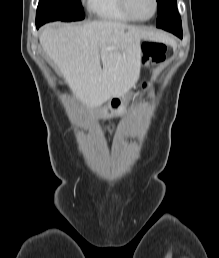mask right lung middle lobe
<instances>
[{
	"label": "right lung middle lobe",
	"mask_w": 219,
	"mask_h": 258,
	"mask_svg": "<svg viewBox=\"0 0 219 258\" xmlns=\"http://www.w3.org/2000/svg\"><path fill=\"white\" fill-rule=\"evenodd\" d=\"M85 18L80 0H39L36 24L50 21H79Z\"/></svg>",
	"instance_id": "obj_1"
}]
</instances>
